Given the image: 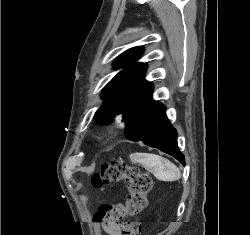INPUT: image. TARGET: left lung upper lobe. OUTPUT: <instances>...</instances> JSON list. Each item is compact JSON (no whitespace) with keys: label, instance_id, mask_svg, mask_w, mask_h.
Listing matches in <instances>:
<instances>
[{"label":"left lung upper lobe","instance_id":"1","mask_svg":"<svg viewBox=\"0 0 250 235\" xmlns=\"http://www.w3.org/2000/svg\"><path fill=\"white\" fill-rule=\"evenodd\" d=\"M143 52L141 47L131 48L121 54L114 63V68L121 70L103 89L104 103L95 113L97 124H110L116 115L127 121L130 109L149 82L144 79L145 63H133Z\"/></svg>","mask_w":250,"mask_h":235}]
</instances>
